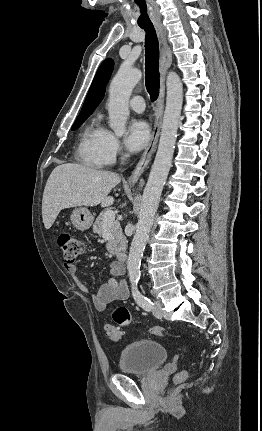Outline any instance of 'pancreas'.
Masks as SVG:
<instances>
[{
  "label": "pancreas",
  "instance_id": "pancreas-1",
  "mask_svg": "<svg viewBox=\"0 0 262 431\" xmlns=\"http://www.w3.org/2000/svg\"><path fill=\"white\" fill-rule=\"evenodd\" d=\"M104 214L105 212H101L93 225V232L98 234L99 236H102L103 234ZM109 230L112 238L108 241L106 245L108 251H110L111 253H117L119 251L125 250L126 238L122 233L120 223L118 221H113L111 224H109Z\"/></svg>",
  "mask_w": 262,
  "mask_h": 431
}]
</instances>
